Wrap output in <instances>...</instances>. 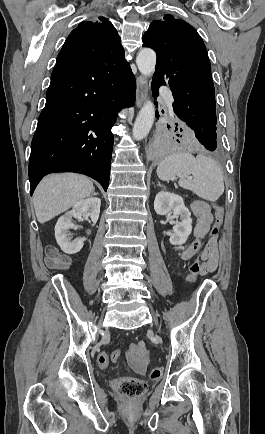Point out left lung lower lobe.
I'll list each match as a JSON object with an SVG mask.
<instances>
[{
    "label": "left lung lower lobe",
    "instance_id": "left-lung-lower-lobe-1",
    "mask_svg": "<svg viewBox=\"0 0 265 434\" xmlns=\"http://www.w3.org/2000/svg\"><path fill=\"white\" fill-rule=\"evenodd\" d=\"M152 91H153L154 98H156V96L158 95V87L152 84ZM192 129L194 130L195 136L200 143L201 151H203L204 153H210V152L217 153L221 150V144L217 134V127L207 126L201 128L196 127ZM159 147L164 151L178 149V147L175 144L167 140H162L159 143Z\"/></svg>",
    "mask_w": 265,
    "mask_h": 434
}]
</instances>
